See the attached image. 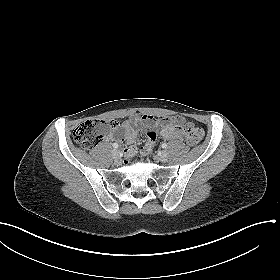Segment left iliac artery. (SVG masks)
<instances>
[{
	"mask_svg": "<svg viewBox=\"0 0 280 280\" xmlns=\"http://www.w3.org/2000/svg\"><path fill=\"white\" fill-rule=\"evenodd\" d=\"M162 148H165V149H166V148H167V144H166V143H163V144H162Z\"/></svg>",
	"mask_w": 280,
	"mask_h": 280,
	"instance_id": "obj_1",
	"label": "left iliac artery"
}]
</instances>
